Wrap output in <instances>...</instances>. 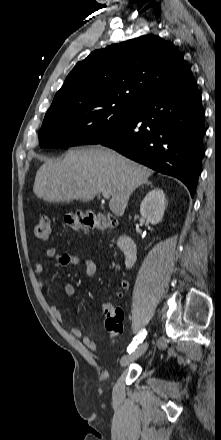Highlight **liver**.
Listing matches in <instances>:
<instances>
[{"mask_svg": "<svg viewBox=\"0 0 221 440\" xmlns=\"http://www.w3.org/2000/svg\"><path fill=\"white\" fill-rule=\"evenodd\" d=\"M152 173L105 147L76 148L68 150L63 160H46L36 173L33 191L38 198L57 203L91 201L108 192L110 210L122 216L131 193Z\"/></svg>", "mask_w": 221, "mask_h": 440, "instance_id": "6515ba94", "label": "liver"}]
</instances>
